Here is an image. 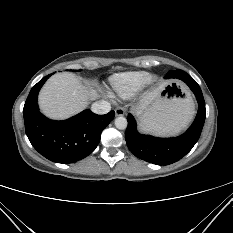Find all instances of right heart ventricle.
Masks as SVG:
<instances>
[{
    "instance_id": "1",
    "label": "right heart ventricle",
    "mask_w": 233,
    "mask_h": 233,
    "mask_svg": "<svg viewBox=\"0 0 233 233\" xmlns=\"http://www.w3.org/2000/svg\"><path fill=\"white\" fill-rule=\"evenodd\" d=\"M150 75L145 71H130L110 77L111 93L114 96L128 99L138 93L148 82Z\"/></svg>"
}]
</instances>
